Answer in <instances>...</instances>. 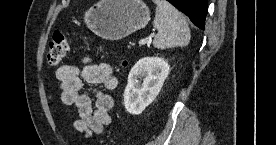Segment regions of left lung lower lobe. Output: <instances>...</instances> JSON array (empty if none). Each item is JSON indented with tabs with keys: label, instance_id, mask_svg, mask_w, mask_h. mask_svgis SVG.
Listing matches in <instances>:
<instances>
[{
	"label": "left lung lower lobe",
	"instance_id": "obj_1",
	"mask_svg": "<svg viewBox=\"0 0 276 145\" xmlns=\"http://www.w3.org/2000/svg\"><path fill=\"white\" fill-rule=\"evenodd\" d=\"M178 10L186 14L200 29L205 27L207 0H167Z\"/></svg>",
	"mask_w": 276,
	"mask_h": 145
}]
</instances>
